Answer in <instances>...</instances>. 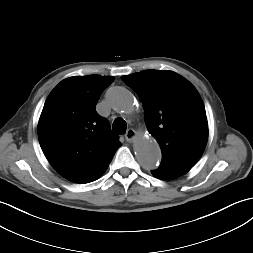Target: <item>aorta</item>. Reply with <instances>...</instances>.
<instances>
[{
	"mask_svg": "<svg viewBox=\"0 0 253 253\" xmlns=\"http://www.w3.org/2000/svg\"><path fill=\"white\" fill-rule=\"evenodd\" d=\"M110 107L120 114H129L134 109L133 94L123 87H113L107 92ZM134 150L139 163L146 169H154L161 159L158 143L140 134L134 144Z\"/></svg>",
	"mask_w": 253,
	"mask_h": 253,
	"instance_id": "obj_1",
	"label": "aorta"
}]
</instances>
